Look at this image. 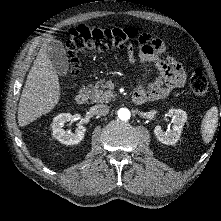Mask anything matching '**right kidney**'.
I'll use <instances>...</instances> for the list:
<instances>
[{
    "mask_svg": "<svg viewBox=\"0 0 221 221\" xmlns=\"http://www.w3.org/2000/svg\"><path fill=\"white\" fill-rule=\"evenodd\" d=\"M74 120V116L70 113H61L57 115L52 122L54 138L66 145L78 144L84 138L86 128L83 125H78L75 133L66 132L63 129L66 122H73Z\"/></svg>",
    "mask_w": 221,
    "mask_h": 221,
    "instance_id": "ca27d5eb",
    "label": "right kidney"
}]
</instances>
